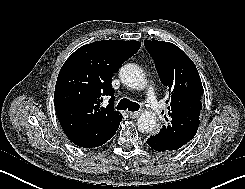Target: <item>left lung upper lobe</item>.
Wrapping results in <instances>:
<instances>
[{
  "mask_svg": "<svg viewBox=\"0 0 245 189\" xmlns=\"http://www.w3.org/2000/svg\"><path fill=\"white\" fill-rule=\"evenodd\" d=\"M144 45L170 92L167 124L157 135L177 150L197 133L204 92L201 79L193 61L176 45L157 40H145Z\"/></svg>",
  "mask_w": 245,
  "mask_h": 189,
  "instance_id": "obj_1",
  "label": "left lung upper lobe"
}]
</instances>
